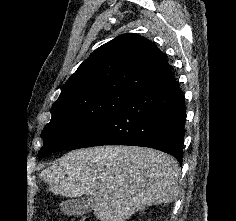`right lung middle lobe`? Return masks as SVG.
Returning a JSON list of instances; mask_svg holds the SVG:
<instances>
[{"label": "right lung middle lobe", "instance_id": "1", "mask_svg": "<svg viewBox=\"0 0 236 221\" xmlns=\"http://www.w3.org/2000/svg\"><path fill=\"white\" fill-rule=\"evenodd\" d=\"M135 93L127 89H109L52 106L51 121L41 133L44 145L38 153L39 158L76 144Z\"/></svg>", "mask_w": 236, "mask_h": 221}]
</instances>
